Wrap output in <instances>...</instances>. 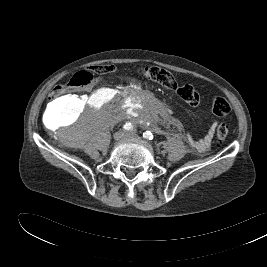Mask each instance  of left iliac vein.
Listing matches in <instances>:
<instances>
[{
  "instance_id": "obj_1",
  "label": "left iliac vein",
  "mask_w": 267,
  "mask_h": 267,
  "mask_svg": "<svg viewBox=\"0 0 267 267\" xmlns=\"http://www.w3.org/2000/svg\"><path fill=\"white\" fill-rule=\"evenodd\" d=\"M127 137H136V134L133 132L127 133L126 134Z\"/></svg>"
}]
</instances>
